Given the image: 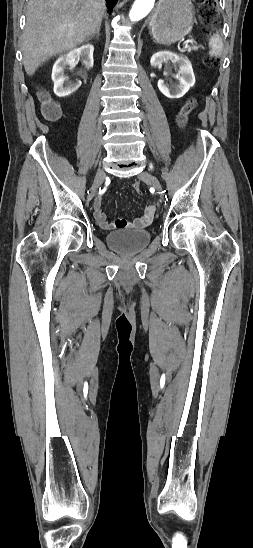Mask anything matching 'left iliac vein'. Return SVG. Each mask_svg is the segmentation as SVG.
<instances>
[{"mask_svg": "<svg viewBox=\"0 0 253 548\" xmlns=\"http://www.w3.org/2000/svg\"><path fill=\"white\" fill-rule=\"evenodd\" d=\"M140 178L142 180L148 182L149 184H151L158 192L162 191L161 184H160L159 180L154 175H152L148 172H142L140 174Z\"/></svg>", "mask_w": 253, "mask_h": 548, "instance_id": "4c4485c4", "label": "left iliac vein"}]
</instances>
